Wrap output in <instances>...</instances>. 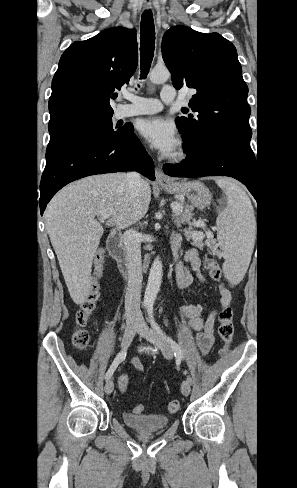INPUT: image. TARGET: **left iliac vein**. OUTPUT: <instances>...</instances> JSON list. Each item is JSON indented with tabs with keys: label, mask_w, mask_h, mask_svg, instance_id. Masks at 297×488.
<instances>
[{
	"label": "left iliac vein",
	"mask_w": 297,
	"mask_h": 488,
	"mask_svg": "<svg viewBox=\"0 0 297 488\" xmlns=\"http://www.w3.org/2000/svg\"><path fill=\"white\" fill-rule=\"evenodd\" d=\"M137 333L145 338L147 341L151 342L153 345L157 346L163 356L166 359H172L174 356V351L170 343L159 333L152 331L148 328L143 318L138 320V325L136 328ZM191 391V382L189 380H184L181 385V392L184 396H188Z\"/></svg>",
	"instance_id": "left-iliac-vein-1"
}]
</instances>
